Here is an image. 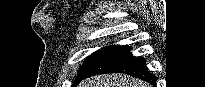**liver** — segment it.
Instances as JSON below:
<instances>
[{
    "instance_id": "6515ba94",
    "label": "liver",
    "mask_w": 205,
    "mask_h": 87,
    "mask_svg": "<svg viewBox=\"0 0 205 87\" xmlns=\"http://www.w3.org/2000/svg\"><path fill=\"white\" fill-rule=\"evenodd\" d=\"M79 87H150V84L125 74H102L83 80Z\"/></svg>"
}]
</instances>
